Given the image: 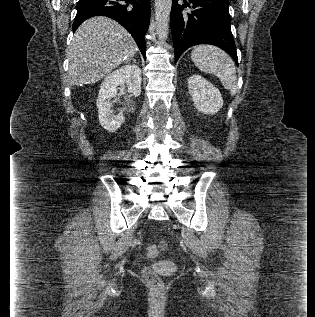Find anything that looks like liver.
Wrapping results in <instances>:
<instances>
[{"mask_svg": "<svg viewBox=\"0 0 315 317\" xmlns=\"http://www.w3.org/2000/svg\"><path fill=\"white\" fill-rule=\"evenodd\" d=\"M136 51L134 39L116 21L90 18L77 29L67 49L69 83H96Z\"/></svg>", "mask_w": 315, "mask_h": 317, "instance_id": "1", "label": "liver"}]
</instances>
